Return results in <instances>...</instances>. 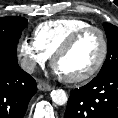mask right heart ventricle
Instances as JSON below:
<instances>
[{
  "label": "right heart ventricle",
  "mask_w": 118,
  "mask_h": 118,
  "mask_svg": "<svg viewBox=\"0 0 118 118\" xmlns=\"http://www.w3.org/2000/svg\"><path fill=\"white\" fill-rule=\"evenodd\" d=\"M88 26L89 22L76 17L46 21L34 30V40L50 57L72 34Z\"/></svg>",
  "instance_id": "1"
}]
</instances>
